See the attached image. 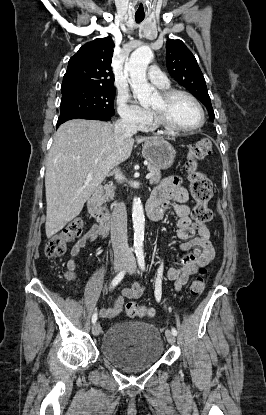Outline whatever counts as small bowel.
Listing matches in <instances>:
<instances>
[{
  "label": "small bowel",
  "mask_w": 266,
  "mask_h": 415,
  "mask_svg": "<svg viewBox=\"0 0 266 415\" xmlns=\"http://www.w3.org/2000/svg\"><path fill=\"white\" fill-rule=\"evenodd\" d=\"M171 200H174V203H171ZM188 201V191L183 186L182 179L173 175L166 177L154 188L146 205L149 216L154 220L165 218L170 211H173L177 216L176 236L183 241L180 244V249L188 253L182 257L174 258L175 266L169 268L165 273L166 279L174 282L175 290H180L193 274L212 263L215 257L208 227L200 225L195 229L192 226ZM106 237L107 231L94 225L77 240L71 249V257L67 262L66 275L69 279L75 278L77 256L82 249L90 242ZM143 291L144 286L135 282L130 288L124 289L122 294L112 301L111 306L102 309L100 316L103 318L118 316L123 310L125 298H139Z\"/></svg>",
  "instance_id": "1"
}]
</instances>
